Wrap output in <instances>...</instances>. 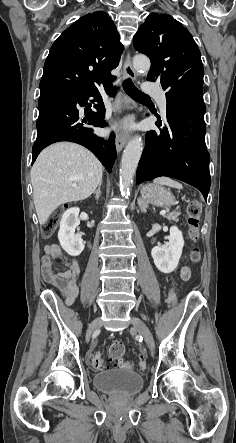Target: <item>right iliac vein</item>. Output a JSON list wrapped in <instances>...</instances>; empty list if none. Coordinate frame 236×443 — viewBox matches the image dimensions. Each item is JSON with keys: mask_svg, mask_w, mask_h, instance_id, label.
<instances>
[{"mask_svg": "<svg viewBox=\"0 0 236 443\" xmlns=\"http://www.w3.org/2000/svg\"><path fill=\"white\" fill-rule=\"evenodd\" d=\"M100 323V319H95L90 325V330H93Z\"/></svg>", "mask_w": 236, "mask_h": 443, "instance_id": "1", "label": "right iliac vein"}]
</instances>
